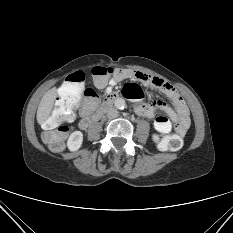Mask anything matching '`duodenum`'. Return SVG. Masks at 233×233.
Here are the masks:
<instances>
[{
	"instance_id": "duodenum-1",
	"label": "duodenum",
	"mask_w": 233,
	"mask_h": 233,
	"mask_svg": "<svg viewBox=\"0 0 233 233\" xmlns=\"http://www.w3.org/2000/svg\"><path fill=\"white\" fill-rule=\"evenodd\" d=\"M119 98V95L115 92L108 94L100 108L91 116L83 118L80 122V127L83 129L88 128L93 122H95L105 111H107L113 102Z\"/></svg>"
}]
</instances>
